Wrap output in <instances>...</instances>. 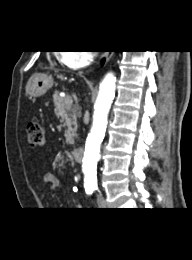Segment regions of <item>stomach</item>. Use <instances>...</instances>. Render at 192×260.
<instances>
[{
    "label": "stomach",
    "mask_w": 192,
    "mask_h": 260,
    "mask_svg": "<svg viewBox=\"0 0 192 260\" xmlns=\"http://www.w3.org/2000/svg\"><path fill=\"white\" fill-rule=\"evenodd\" d=\"M53 83V79L47 75H34L28 82L27 93L33 97H40L53 86Z\"/></svg>",
    "instance_id": "stomach-1"
}]
</instances>
